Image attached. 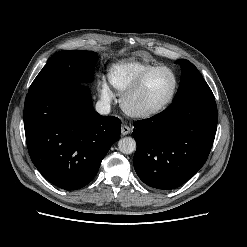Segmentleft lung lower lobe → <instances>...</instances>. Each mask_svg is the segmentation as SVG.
I'll return each mask as SVG.
<instances>
[{
  "instance_id": "left-lung-lower-lobe-1",
  "label": "left lung lower lobe",
  "mask_w": 247,
  "mask_h": 247,
  "mask_svg": "<svg viewBox=\"0 0 247 247\" xmlns=\"http://www.w3.org/2000/svg\"><path fill=\"white\" fill-rule=\"evenodd\" d=\"M214 95L194 93L163 112L134 123L133 163L148 186L170 190L187 182L206 162L217 129Z\"/></svg>"
}]
</instances>
